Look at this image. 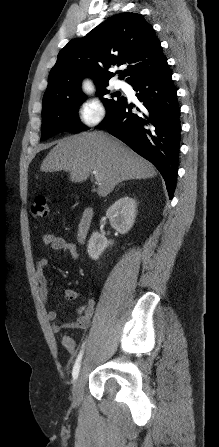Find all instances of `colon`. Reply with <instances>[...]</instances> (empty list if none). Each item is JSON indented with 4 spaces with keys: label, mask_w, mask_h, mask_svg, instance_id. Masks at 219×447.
<instances>
[{
    "label": "colon",
    "mask_w": 219,
    "mask_h": 447,
    "mask_svg": "<svg viewBox=\"0 0 219 447\" xmlns=\"http://www.w3.org/2000/svg\"><path fill=\"white\" fill-rule=\"evenodd\" d=\"M30 212L34 218H47L49 215L47 198L45 196L35 197L31 205Z\"/></svg>",
    "instance_id": "colon-1"
}]
</instances>
